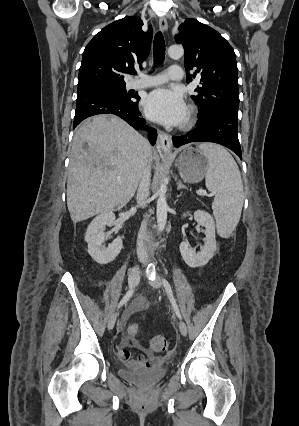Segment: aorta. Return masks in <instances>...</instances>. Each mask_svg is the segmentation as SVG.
I'll return each mask as SVG.
<instances>
[{
	"mask_svg": "<svg viewBox=\"0 0 299 426\" xmlns=\"http://www.w3.org/2000/svg\"><path fill=\"white\" fill-rule=\"evenodd\" d=\"M168 55L172 59H179L184 55V49L181 45H171L168 48ZM167 186L165 182L160 185L158 190V200L156 207V217L159 232H162L167 222L168 204L166 200Z\"/></svg>",
	"mask_w": 299,
	"mask_h": 426,
	"instance_id": "obj_1",
	"label": "aorta"
}]
</instances>
